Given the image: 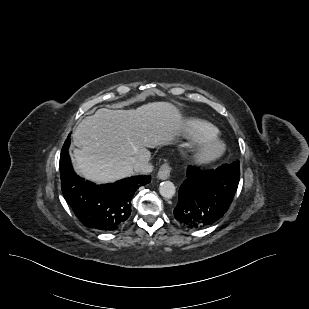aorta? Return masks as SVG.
<instances>
[{
  "instance_id": "aorta-1",
  "label": "aorta",
  "mask_w": 309,
  "mask_h": 309,
  "mask_svg": "<svg viewBox=\"0 0 309 309\" xmlns=\"http://www.w3.org/2000/svg\"><path fill=\"white\" fill-rule=\"evenodd\" d=\"M160 195L164 198H172L175 195L176 189L171 181H163L159 186Z\"/></svg>"
}]
</instances>
